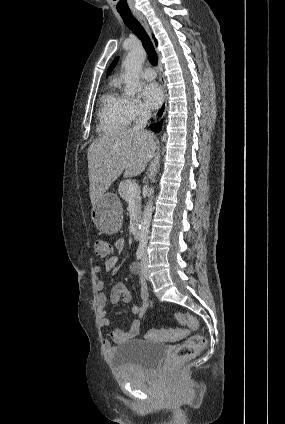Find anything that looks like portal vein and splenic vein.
Wrapping results in <instances>:
<instances>
[{
  "label": "portal vein and splenic vein",
  "mask_w": 285,
  "mask_h": 424,
  "mask_svg": "<svg viewBox=\"0 0 285 424\" xmlns=\"http://www.w3.org/2000/svg\"><path fill=\"white\" fill-rule=\"evenodd\" d=\"M138 184L136 182H131L128 186V195L133 197L138 192Z\"/></svg>",
  "instance_id": "obj_1"
}]
</instances>
